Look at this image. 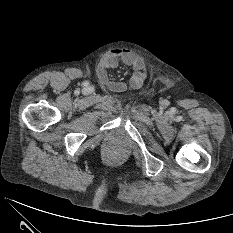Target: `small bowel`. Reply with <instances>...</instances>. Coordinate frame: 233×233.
Listing matches in <instances>:
<instances>
[{
    "instance_id": "obj_1",
    "label": "small bowel",
    "mask_w": 233,
    "mask_h": 233,
    "mask_svg": "<svg viewBox=\"0 0 233 233\" xmlns=\"http://www.w3.org/2000/svg\"><path fill=\"white\" fill-rule=\"evenodd\" d=\"M119 61L131 67L133 69V74L126 83L110 81L108 83V88L114 92L139 89L147 77L146 67L143 61L134 52L128 49L119 48L110 51L100 62L98 73L104 75L106 72L116 69Z\"/></svg>"
}]
</instances>
